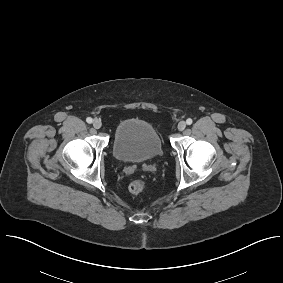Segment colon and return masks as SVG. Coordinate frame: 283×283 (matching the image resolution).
Masks as SVG:
<instances>
[{
  "label": "colon",
  "mask_w": 283,
  "mask_h": 283,
  "mask_svg": "<svg viewBox=\"0 0 283 283\" xmlns=\"http://www.w3.org/2000/svg\"><path fill=\"white\" fill-rule=\"evenodd\" d=\"M129 190L133 194H144L147 192V186L143 180L135 179L129 184Z\"/></svg>",
  "instance_id": "5ec220e1"
}]
</instances>
